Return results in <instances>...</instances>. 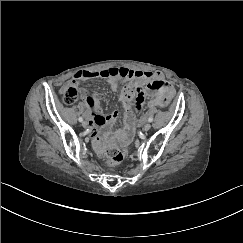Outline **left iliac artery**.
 I'll return each instance as SVG.
<instances>
[{
  "label": "left iliac artery",
  "mask_w": 243,
  "mask_h": 243,
  "mask_svg": "<svg viewBox=\"0 0 243 243\" xmlns=\"http://www.w3.org/2000/svg\"><path fill=\"white\" fill-rule=\"evenodd\" d=\"M152 121H153V117H149L148 122H152Z\"/></svg>",
  "instance_id": "obj_1"
}]
</instances>
